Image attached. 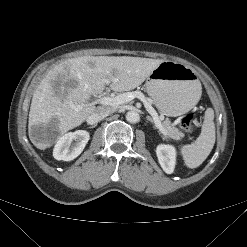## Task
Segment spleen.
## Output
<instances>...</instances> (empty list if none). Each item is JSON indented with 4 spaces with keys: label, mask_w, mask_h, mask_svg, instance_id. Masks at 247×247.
I'll list each match as a JSON object with an SVG mask.
<instances>
[{
    "label": "spleen",
    "mask_w": 247,
    "mask_h": 247,
    "mask_svg": "<svg viewBox=\"0 0 247 247\" xmlns=\"http://www.w3.org/2000/svg\"><path fill=\"white\" fill-rule=\"evenodd\" d=\"M214 112L207 109L199 137L193 144L184 145L180 152L187 167L193 169L200 166L209 156L215 144Z\"/></svg>",
    "instance_id": "1"
}]
</instances>
